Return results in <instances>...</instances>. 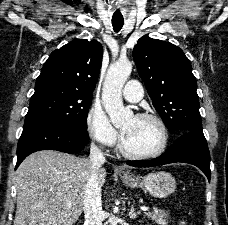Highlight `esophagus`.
Listing matches in <instances>:
<instances>
[{
	"label": "esophagus",
	"mask_w": 228,
	"mask_h": 225,
	"mask_svg": "<svg viewBox=\"0 0 228 225\" xmlns=\"http://www.w3.org/2000/svg\"><path fill=\"white\" fill-rule=\"evenodd\" d=\"M117 172L121 178H125L130 174V170L123 165H120V167H118Z\"/></svg>",
	"instance_id": "esophagus-1"
}]
</instances>
